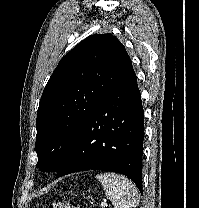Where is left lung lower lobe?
I'll list each match as a JSON object with an SVG mask.
<instances>
[{
    "mask_svg": "<svg viewBox=\"0 0 199 208\" xmlns=\"http://www.w3.org/2000/svg\"><path fill=\"white\" fill-rule=\"evenodd\" d=\"M144 111L133 67L105 96L80 129L56 178L106 170L131 178L142 193Z\"/></svg>",
    "mask_w": 199,
    "mask_h": 208,
    "instance_id": "1",
    "label": "left lung lower lobe"
}]
</instances>
